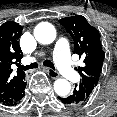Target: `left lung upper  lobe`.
Masks as SVG:
<instances>
[{"label": "left lung upper lobe", "instance_id": "5c2ea615", "mask_svg": "<svg viewBox=\"0 0 117 117\" xmlns=\"http://www.w3.org/2000/svg\"><path fill=\"white\" fill-rule=\"evenodd\" d=\"M59 22L74 40V53L84 58L85 66L76 68L82 76L77 88H81L89 99L98 84L105 58L100 34L83 16L66 17Z\"/></svg>", "mask_w": 117, "mask_h": 117}]
</instances>
